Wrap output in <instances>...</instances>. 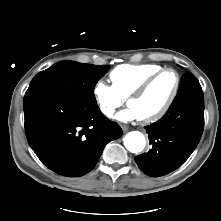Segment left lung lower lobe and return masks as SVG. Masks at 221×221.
<instances>
[{
    "label": "left lung lower lobe",
    "mask_w": 221,
    "mask_h": 221,
    "mask_svg": "<svg viewBox=\"0 0 221 221\" xmlns=\"http://www.w3.org/2000/svg\"><path fill=\"white\" fill-rule=\"evenodd\" d=\"M204 127V100L199 82L186 79L166 114L145 127L152 148L135 157L147 175L159 177L181 166L198 145Z\"/></svg>",
    "instance_id": "0a47b994"
}]
</instances>
